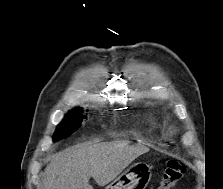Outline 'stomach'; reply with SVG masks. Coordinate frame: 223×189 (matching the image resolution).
Returning a JSON list of instances; mask_svg holds the SVG:
<instances>
[{
    "mask_svg": "<svg viewBox=\"0 0 223 189\" xmlns=\"http://www.w3.org/2000/svg\"><path fill=\"white\" fill-rule=\"evenodd\" d=\"M151 176V169L147 164L135 163L122 172L105 189H145Z\"/></svg>",
    "mask_w": 223,
    "mask_h": 189,
    "instance_id": "obj_1",
    "label": "stomach"
}]
</instances>
